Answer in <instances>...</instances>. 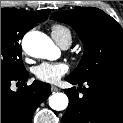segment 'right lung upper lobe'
Segmentation results:
<instances>
[{"instance_id": "right-lung-upper-lobe-1", "label": "right lung upper lobe", "mask_w": 123, "mask_h": 123, "mask_svg": "<svg viewBox=\"0 0 123 123\" xmlns=\"http://www.w3.org/2000/svg\"><path fill=\"white\" fill-rule=\"evenodd\" d=\"M16 13L21 20L32 21L35 25L38 22H43L48 18L50 10H40V11H23V10H15V9H7Z\"/></svg>"}]
</instances>
